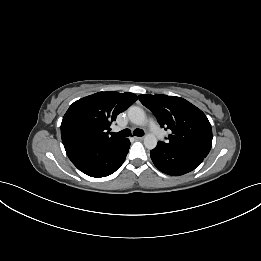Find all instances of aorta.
Wrapping results in <instances>:
<instances>
[{
    "instance_id": "aorta-1",
    "label": "aorta",
    "mask_w": 261,
    "mask_h": 261,
    "mask_svg": "<svg viewBox=\"0 0 261 261\" xmlns=\"http://www.w3.org/2000/svg\"><path fill=\"white\" fill-rule=\"evenodd\" d=\"M129 120L138 126H144L147 123V117L144 110L137 106H131L128 109ZM144 145L147 149H154L157 146V138L154 134L148 133L144 137Z\"/></svg>"
}]
</instances>
